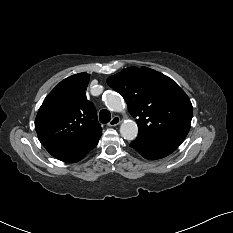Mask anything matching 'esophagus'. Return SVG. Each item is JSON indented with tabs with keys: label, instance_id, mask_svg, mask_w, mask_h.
I'll use <instances>...</instances> for the list:
<instances>
[{
	"label": "esophagus",
	"instance_id": "obj_1",
	"mask_svg": "<svg viewBox=\"0 0 233 233\" xmlns=\"http://www.w3.org/2000/svg\"><path fill=\"white\" fill-rule=\"evenodd\" d=\"M120 123V117L119 116H113L110 122L108 123V126L114 127L117 126Z\"/></svg>",
	"mask_w": 233,
	"mask_h": 233
}]
</instances>
